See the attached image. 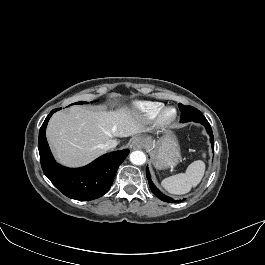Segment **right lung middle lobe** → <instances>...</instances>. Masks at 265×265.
<instances>
[{"instance_id": "obj_1", "label": "right lung middle lobe", "mask_w": 265, "mask_h": 265, "mask_svg": "<svg viewBox=\"0 0 265 265\" xmlns=\"http://www.w3.org/2000/svg\"><path fill=\"white\" fill-rule=\"evenodd\" d=\"M83 103H86V102H77V103H74V104H83Z\"/></svg>"}]
</instances>
